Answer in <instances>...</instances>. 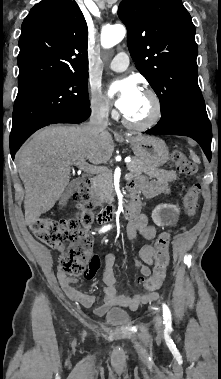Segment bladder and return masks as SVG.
Here are the masks:
<instances>
[{"label": "bladder", "mask_w": 221, "mask_h": 379, "mask_svg": "<svg viewBox=\"0 0 221 379\" xmlns=\"http://www.w3.org/2000/svg\"><path fill=\"white\" fill-rule=\"evenodd\" d=\"M105 319L112 324H123L129 322L131 316L128 312L122 309L112 308L105 314Z\"/></svg>", "instance_id": "obj_1"}]
</instances>
